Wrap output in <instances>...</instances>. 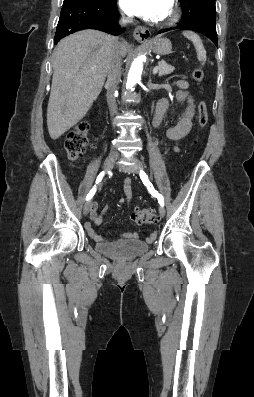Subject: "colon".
<instances>
[{"label":"colon","mask_w":254,"mask_h":397,"mask_svg":"<svg viewBox=\"0 0 254 397\" xmlns=\"http://www.w3.org/2000/svg\"><path fill=\"white\" fill-rule=\"evenodd\" d=\"M193 79L201 84L204 79V72L201 67H196L192 73ZM208 123V110L204 101L198 105V125L200 129L206 127ZM89 123L82 120L77 123L68 133L65 140V149L68 158L72 161L77 160L83 155L88 146ZM132 220L137 225L154 224L158 221L156 212L152 209H137L132 213Z\"/></svg>","instance_id":"colon-1"}]
</instances>
